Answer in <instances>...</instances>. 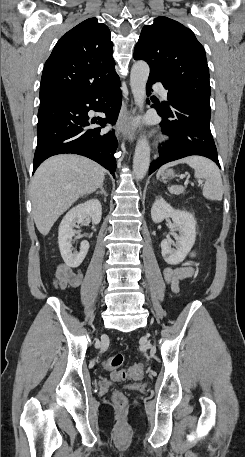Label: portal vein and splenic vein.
Listing matches in <instances>:
<instances>
[{"mask_svg": "<svg viewBox=\"0 0 245 457\" xmlns=\"http://www.w3.org/2000/svg\"><path fill=\"white\" fill-rule=\"evenodd\" d=\"M185 176V174H182V178ZM199 184H202L203 180H198Z\"/></svg>", "mask_w": 245, "mask_h": 457, "instance_id": "obj_1", "label": "portal vein and splenic vein"}]
</instances>
